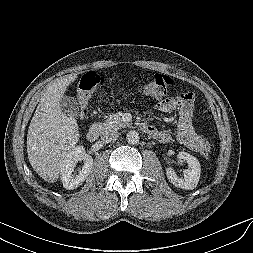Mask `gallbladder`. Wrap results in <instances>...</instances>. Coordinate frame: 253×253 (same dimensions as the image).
Listing matches in <instances>:
<instances>
[{
    "mask_svg": "<svg viewBox=\"0 0 253 253\" xmlns=\"http://www.w3.org/2000/svg\"><path fill=\"white\" fill-rule=\"evenodd\" d=\"M62 112L70 117L77 116L79 113V106L75 98L71 96H63L60 100Z\"/></svg>",
    "mask_w": 253,
    "mask_h": 253,
    "instance_id": "gallbladder-1",
    "label": "gallbladder"
}]
</instances>
